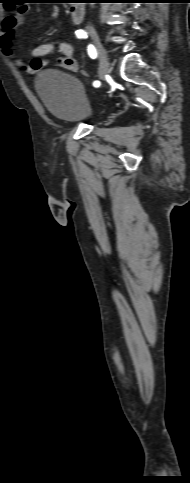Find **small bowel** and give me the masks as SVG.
I'll list each match as a JSON object with an SVG mask.
<instances>
[{
  "label": "small bowel",
  "mask_w": 190,
  "mask_h": 483,
  "mask_svg": "<svg viewBox=\"0 0 190 483\" xmlns=\"http://www.w3.org/2000/svg\"><path fill=\"white\" fill-rule=\"evenodd\" d=\"M27 11L28 7L21 5L13 14H9L3 18L0 27V48L3 53L26 73L36 74L49 63V60L43 57L53 52H58L62 57L57 59L55 66L69 72H77L78 64L73 57L74 47L72 44L63 40H48L36 45L31 52L32 59L29 63H26L23 59L15 55L13 51V34L23 24ZM51 16L53 18L58 16L57 8H52Z\"/></svg>",
  "instance_id": "c3829d8e"
}]
</instances>
